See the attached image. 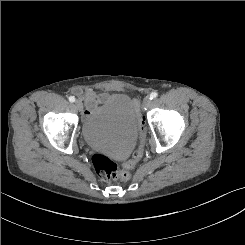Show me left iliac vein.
<instances>
[{"mask_svg":"<svg viewBox=\"0 0 245 245\" xmlns=\"http://www.w3.org/2000/svg\"><path fill=\"white\" fill-rule=\"evenodd\" d=\"M151 104V99L149 96H146L143 100V106L145 109L149 108Z\"/></svg>","mask_w":245,"mask_h":245,"instance_id":"4c4485c4","label":"left iliac vein"}]
</instances>
